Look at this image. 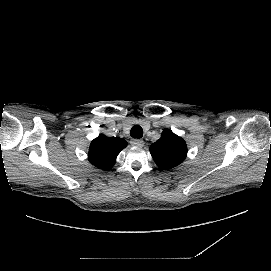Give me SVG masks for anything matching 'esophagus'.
<instances>
[{"mask_svg":"<svg viewBox=\"0 0 271 271\" xmlns=\"http://www.w3.org/2000/svg\"><path fill=\"white\" fill-rule=\"evenodd\" d=\"M130 144L135 147H143L144 146V141L140 139H132L130 141Z\"/></svg>","mask_w":271,"mask_h":271,"instance_id":"34e87169","label":"esophagus"}]
</instances>
